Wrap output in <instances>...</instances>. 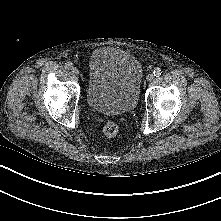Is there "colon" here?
Here are the masks:
<instances>
[{
	"instance_id": "1",
	"label": "colon",
	"mask_w": 221,
	"mask_h": 221,
	"mask_svg": "<svg viewBox=\"0 0 221 221\" xmlns=\"http://www.w3.org/2000/svg\"><path fill=\"white\" fill-rule=\"evenodd\" d=\"M119 132L118 125L113 121H108L103 127V133L107 138H114Z\"/></svg>"
}]
</instances>
